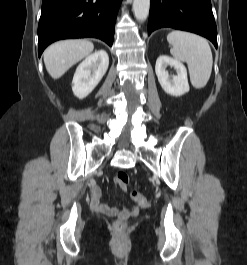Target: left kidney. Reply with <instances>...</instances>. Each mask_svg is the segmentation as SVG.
<instances>
[{
	"label": "left kidney",
	"instance_id": "1",
	"mask_svg": "<svg viewBox=\"0 0 247 265\" xmlns=\"http://www.w3.org/2000/svg\"><path fill=\"white\" fill-rule=\"evenodd\" d=\"M167 66L174 67L177 72V75L173 76L172 79L166 70ZM155 72L162 89L167 94L177 97L189 92L187 70L180 61L166 55L159 56L156 61Z\"/></svg>",
	"mask_w": 247,
	"mask_h": 265
}]
</instances>
